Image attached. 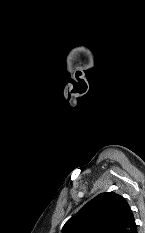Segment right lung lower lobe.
<instances>
[{
	"label": "right lung lower lobe",
	"mask_w": 145,
	"mask_h": 233,
	"mask_svg": "<svg viewBox=\"0 0 145 233\" xmlns=\"http://www.w3.org/2000/svg\"><path fill=\"white\" fill-rule=\"evenodd\" d=\"M133 233H137V228L133 231Z\"/></svg>",
	"instance_id": "right-lung-lower-lobe-1"
}]
</instances>
